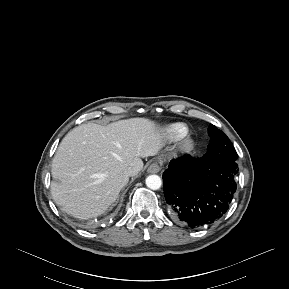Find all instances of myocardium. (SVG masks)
I'll return each mask as SVG.
<instances>
[{"label": "myocardium", "mask_w": 289, "mask_h": 289, "mask_svg": "<svg viewBox=\"0 0 289 289\" xmlns=\"http://www.w3.org/2000/svg\"><path fill=\"white\" fill-rule=\"evenodd\" d=\"M193 148L194 140L188 133L178 139V149L181 152H190Z\"/></svg>", "instance_id": "myocardium-1"}]
</instances>
